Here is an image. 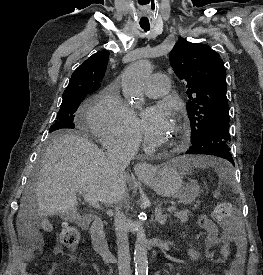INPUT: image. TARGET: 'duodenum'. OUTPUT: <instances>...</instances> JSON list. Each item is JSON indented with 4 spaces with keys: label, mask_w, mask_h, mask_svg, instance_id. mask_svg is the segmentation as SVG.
I'll return each mask as SVG.
<instances>
[{
    "label": "duodenum",
    "mask_w": 263,
    "mask_h": 275,
    "mask_svg": "<svg viewBox=\"0 0 263 275\" xmlns=\"http://www.w3.org/2000/svg\"><path fill=\"white\" fill-rule=\"evenodd\" d=\"M90 236L94 250L106 263H113L115 255L111 252L104 234V224L99 218L90 227Z\"/></svg>",
    "instance_id": "obj_1"
}]
</instances>
